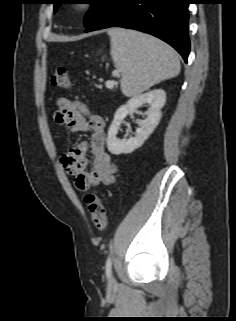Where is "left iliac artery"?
I'll use <instances>...</instances> for the list:
<instances>
[{"label": "left iliac artery", "mask_w": 236, "mask_h": 321, "mask_svg": "<svg viewBox=\"0 0 236 321\" xmlns=\"http://www.w3.org/2000/svg\"><path fill=\"white\" fill-rule=\"evenodd\" d=\"M105 269H106V275L107 277H110L111 275V269H112V257L109 256L106 260V265H105Z\"/></svg>", "instance_id": "44dca946"}]
</instances>
